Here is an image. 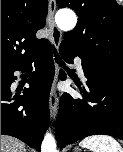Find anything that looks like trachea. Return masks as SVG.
<instances>
[{
    "instance_id": "1",
    "label": "trachea",
    "mask_w": 123,
    "mask_h": 152,
    "mask_svg": "<svg viewBox=\"0 0 123 152\" xmlns=\"http://www.w3.org/2000/svg\"><path fill=\"white\" fill-rule=\"evenodd\" d=\"M54 55H55V60L57 63H59L60 65H63V61L61 60V58L59 57L57 50L54 48Z\"/></svg>"
}]
</instances>
